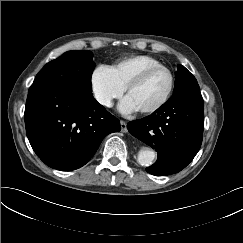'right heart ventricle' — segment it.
Returning <instances> with one entry per match:
<instances>
[{"instance_id": "1", "label": "right heart ventricle", "mask_w": 243, "mask_h": 243, "mask_svg": "<svg viewBox=\"0 0 243 243\" xmlns=\"http://www.w3.org/2000/svg\"><path fill=\"white\" fill-rule=\"evenodd\" d=\"M157 64H160L159 61L150 56L138 55L121 59L109 67L114 80L124 90L140 71Z\"/></svg>"}]
</instances>
